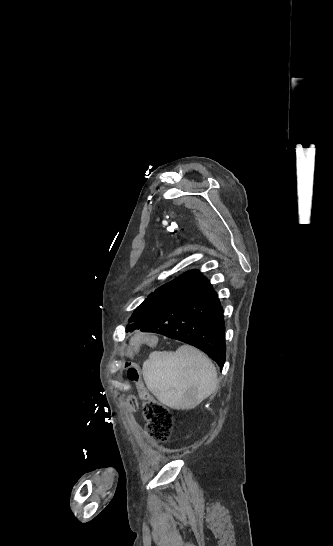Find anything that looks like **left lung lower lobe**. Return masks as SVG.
I'll list each match as a JSON object with an SVG mask.
<instances>
[{
	"mask_svg": "<svg viewBox=\"0 0 333 546\" xmlns=\"http://www.w3.org/2000/svg\"><path fill=\"white\" fill-rule=\"evenodd\" d=\"M223 313L212 285L199 273L176 300L160 309L145 326L138 328L130 318L126 332L140 329L191 344L207 353L222 370L226 352Z\"/></svg>",
	"mask_w": 333,
	"mask_h": 546,
	"instance_id": "left-lung-lower-lobe-1",
	"label": "left lung lower lobe"
}]
</instances>
